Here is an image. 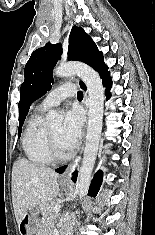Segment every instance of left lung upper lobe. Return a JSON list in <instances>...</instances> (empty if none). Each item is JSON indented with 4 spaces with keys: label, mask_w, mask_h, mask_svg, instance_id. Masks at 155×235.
<instances>
[{
    "label": "left lung upper lobe",
    "mask_w": 155,
    "mask_h": 235,
    "mask_svg": "<svg viewBox=\"0 0 155 235\" xmlns=\"http://www.w3.org/2000/svg\"><path fill=\"white\" fill-rule=\"evenodd\" d=\"M61 54L60 43H47L35 50L27 62L24 70L25 80L20 89L19 135L30 104L51 89L52 70L61 58ZM68 60L84 62L98 72L106 66L103 54L98 50L94 41L81 27L76 26L72 27L69 35ZM80 86H84V83L80 82Z\"/></svg>",
    "instance_id": "5c2ea615"
}]
</instances>
